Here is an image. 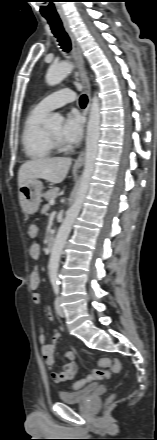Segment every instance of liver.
Returning <instances> with one entry per match:
<instances>
[{"label": "liver", "instance_id": "obj_1", "mask_svg": "<svg viewBox=\"0 0 157 440\" xmlns=\"http://www.w3.org/2000/svg\"><path fill=\"white\" fill-rule=\"evenodd\" d=\"M72 160L65 157L33 159L21 165L18 172V186L33 179H44L51 183H61L71 166Z\"/></svg>", "mask_w": 157, "mask_h": 440}]
</instances>
